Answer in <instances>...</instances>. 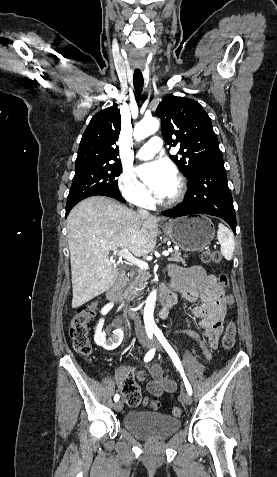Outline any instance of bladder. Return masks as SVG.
I'll return each instance as SVG.
<instances>
[{"mask_svg":"<svg viewBox=\"0 0 277 477\" xmlns=\"http://www.w3.org/2000/svg\"><path fill=\"white\" fill-rule=\"evenodd\" d=\"M123 423L133 434L146 440L168 438L181 426L179 419L151 411H130L125 414Z\"/></svg>","mask_w":277,"mask_h":477,"instance_id":"obj_1","label":"bladder"}]
</instances>
